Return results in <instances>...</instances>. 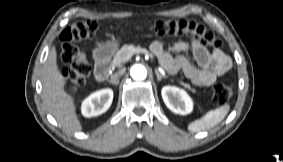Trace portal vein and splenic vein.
<instances>
[{"instance_id": "1", "label": "portal vein and splenic vein", "mask_w": 283, "mask_h": 162, "mask_svg": "<svg viewBox=\"0 0 283 162\" xmlns=\"http://www.w3.org/2000/svg\"><path fill=\"white\" fill-rule=\"evenodd\" d=\"M141 53H144L145 55H148L153 58V56L146 49L144 51H141Z\"/></svg>"}]
</instances>
